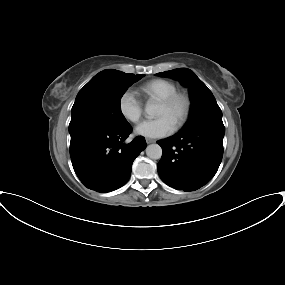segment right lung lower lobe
<instances>
[{
    "label": "right lung lower lobe",
    "instance_id": "right-lung-lower-lobe-1",
    "mask_svg": "<svg viewBox=\"0 0 285 285\" xmlns=\"http://www.w3.org/2000/svg\"><path fill=\"white\" fill-rule=\"evenodd\" d=\"M131 132L130 124L118 129L85 124L70 132L72 165L87 188L105 193L127 183L134 159L146 148L141 136L124 143Z\"/></svg>",
    "mask_w": 285,
    "mask_h": 285
}]
</instances>
